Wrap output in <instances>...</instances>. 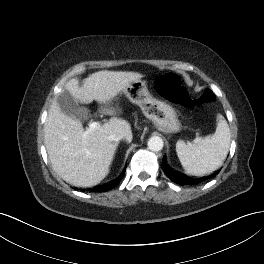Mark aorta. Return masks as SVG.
Listing matches in <instances>:
<instances>
[{
  "label": "aorta",
  "mask_w": 264,
  "mask_h": 264,
  "mask_svg": "<svg viewBox=\"0 0 264 264\" xmlns=\"http://www.w3.org/2000/svg\"><path fill=\"white\" fill-rule=\"evenodd\" d=\"M147 145H148L149 150H151L153 152H158V151L162 150V148L164 146V142H163L161 137L152 136L148 140V144Z\"/></svg>",
  "instance_id": "1"
}]
</instances>
